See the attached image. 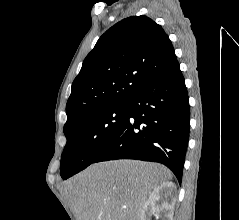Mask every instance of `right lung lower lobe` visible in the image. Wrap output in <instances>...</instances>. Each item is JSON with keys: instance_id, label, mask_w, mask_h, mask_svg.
I'll return each instance as SVG.
<instances>
[{"instance_id": "right-lung-lower-lobe-1", "label": "right lung lower lobe", "mask_w": 239, "mask_h": 220, "mask_svg": "<svg viewBox=\"0 0 239 220\" xmlns=\"http://www.w3.org/2000/svg\"><path fill=\"white\" fill-rule=\"evenodd\" d=\"M126 105V120L93 163L114 159L159 162L181 183L190 110L178 61L129 98Z\"/></svg>"}]
</instances>
